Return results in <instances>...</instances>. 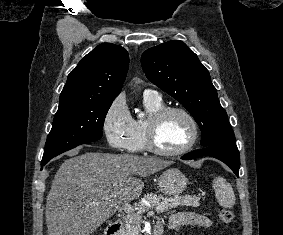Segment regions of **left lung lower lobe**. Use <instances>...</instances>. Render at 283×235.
Returning a JSON list of instances; mask_svg holds the SVG:
<instances>
[{"mask_svg":"<svg viewBox=\"0 0 283 235\" xmlns=\"http://www.w3.org/2000/svg\"><path fill=\"white\" fill-rule=\"evenodd\" d=\"M201 156H210L227 164L232 171L238 176L240 168L239 151L236 144L213 145L204 149L195 150L185 154L183 160H191Z\"/></svg>","mask_w":283,"mask_h":235,"instance_id":"0a47b994","label":"left lung lower lobe"}]
</instances>
